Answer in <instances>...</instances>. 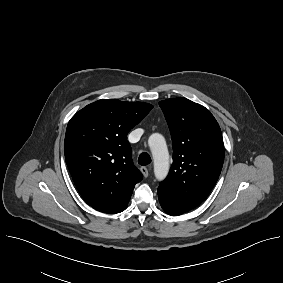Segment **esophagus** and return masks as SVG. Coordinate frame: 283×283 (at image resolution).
Returning a JSON list of instances; mask_svg holds the SVG:
<instances>
[{
	"label": "esophagus",
	"instance_id": "34e87169",
	"mask_svg": "<svg viewBox=\"0 0 283 283\" xmlns=\"http://www.w3.org/2000/svg\"><path fill=\"white\" fill-rule=\"evenodd\" d=\"M140 171L142 172V174H143L144 177H148V175H149V170H148L147 167L142 166V167L140 168Z\"/></svg>",
	"mask_w": 283,
	"mask_h": 283
}]
</instances>
